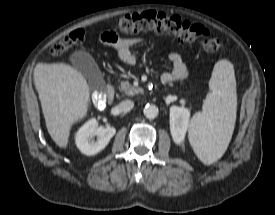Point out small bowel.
I'll use <instances>...</instances> for the list:
<instances>
[{"instance_id":"obj_1","label":"small bowel","mask_w":275,"mask_h":215,"mask_svg":"<svg viewBox=\"0 0 275 215\" xmlns=\"http://www.w3.org/2000/svg\"><path fill=\"white\" fill-rule=\"evenodd\" d=\"M101 40L114 49L119 59L125 64H135L136 55L133 48L140 42L138 38H122L111 31H106L102 34ZM172 64V70L163 73L162 82L170 83L173 81L183 80L188 76L186 65L178 53H172L169 56Z\"/></svg>"}]
</instances>
